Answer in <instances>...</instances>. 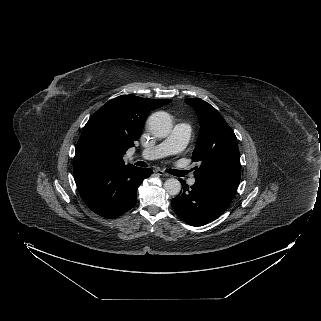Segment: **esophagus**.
<instances>
[{
    "label": "esophagus",
    "mask_w": 321,
    "mask_h": 321,
    "mask_svg": "<svg viewBox=\"0 0 321 321\" xmlns=\"http://www.w3.org/2000/svg\"><path fill=\"white\" fill-rule=\"evenodd\" d=\"M154 173H156L159 176H168V174L166 172H164L163 170H160V169H155Z\"/></svg>",
    "instance_id": "1"
}]
</instances>
